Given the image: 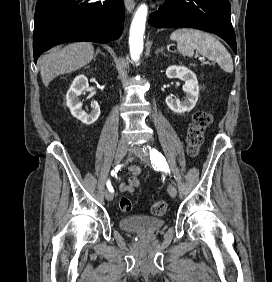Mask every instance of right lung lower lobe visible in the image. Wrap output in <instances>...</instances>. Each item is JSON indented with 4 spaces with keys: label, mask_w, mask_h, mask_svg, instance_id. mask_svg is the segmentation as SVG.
<instances>
[{
    "label": "right lung lower lobe",
    "mask_w": 272,
    "mask_h": 282,
    "mask_svg": "<svg viewBox=\"0 0 272 282\" xmlns=\"http://www.w3.org/2000/svg\"><path fill=\"white\" fill-rule=\"evenodd\" d=\"M123 0H38L33 36L34 62L65 42L106 43L123 30Z\"/></svg>",
    "instance_id": "obj_1"
}]
</instances>
